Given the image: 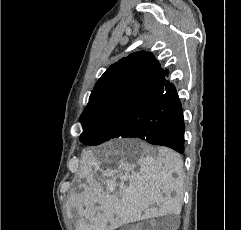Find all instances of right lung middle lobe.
<instances>
[{"mask_svg":"<svg viewBox=\"0 0 241 230\" xmlns=\"http://www.w3.org/2000/svg\"><path fill=\"white\" fill-rule=\"evenodd\" d=\"M149 106L150 103L131 110H114L96 121L82 122L80 141L96 146L117 137H134L132 133L150 124L144 117ZM123 133L125 135L121 136Z\"/></svg>","mask_w":241,"mask_h":230,"instance_id":"dd1d6c3e","label":"right lung middle lobe"}]
</instances>
